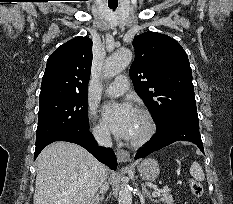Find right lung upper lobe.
Wrapping results in <instances>:
<instances>
[{
  "mask_svg": "<svg viewBox=\"0 0 233 204\" xmlns=\"http://www.w3.org/2000/svg\"><path fill=\"white\" fill-rule=\"evenodd\" d=\"M92 64V40L78 36L61 45L47 60L40 101L87 96Z\"/></svg>",
  "mask_w": 233,
  "mask_h": 204,
  "instance_id": "obj_1",
  "label": "right lung upper lobe"
}]
</instances>
